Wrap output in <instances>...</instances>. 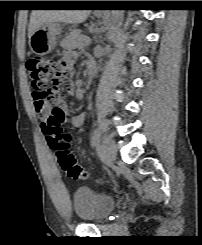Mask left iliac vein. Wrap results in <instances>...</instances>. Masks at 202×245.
Returning a JSON list of instances; mask_svg holds the SVG:
<instances>
[{"label":"left iliac vein","instance_id":"1","mask_svg":"<svg viewBox=\"0 0 202 245\" xmlns=\"http://www.w3.org/2000/svg\"><path fill=\"white\" fill-rule=\"evenodd\" d=\"M102 159L109 166L113 165L117 158V147L110 137L104 136L100 146Z\"/></svg>","mask_w":202,"mask_h":245}]
</instances>
